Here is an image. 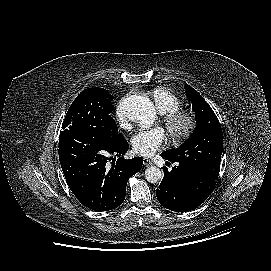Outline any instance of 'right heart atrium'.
I'll return each mask as SVG.
<instances>
[{
  "mask_svg": "<svg viewBox=\"0 0 271 271\" xmlns=\"http://www.w3.org/2000/svg\"><path fill=\"white\" fill-rule=\"evenodd\" d=\"M116 115H117V118L118 120L121 122V123H125L126 121V113L124 112L123 110V107H122V101L119 102L116 106Z\"/></svg>",
  "mask_w": 271,
  "mask_h": 271,
  "instance_id": "1",
  "label": "right heart atrium"
}]
</instances>
